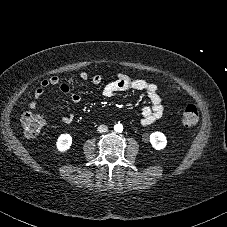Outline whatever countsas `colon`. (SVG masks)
I'll return each instance as SVG.
<instances>
[{
	"label": "colon",
	"mask_w": 227,
	"mask_h": 227,
	"mask_svg": "<svg viewBox=\"0 0 227 227\" xmlns=\"http://www.w3.org/2000/svg\"><path fill=\"white\" fill-rule=\"evenodd\" d=\"M198 121V110L194 104L184 106L181 115L180 123L184 127H192ZM20 124L23 131L28 136H36L39 134L45 124V118L42 114L36 112L24 113L21 117Z\"/></svg>",
	"instance_id": "5ec220e1"
}]
</instances>
